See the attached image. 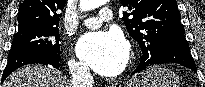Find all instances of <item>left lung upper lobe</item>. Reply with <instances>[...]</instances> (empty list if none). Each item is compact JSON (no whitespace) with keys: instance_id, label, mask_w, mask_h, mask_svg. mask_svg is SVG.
Listing matches in <instances>:
<instances>
[{"instance_id":"5c2ea615","label":"left lung upper lobe","mask_w":205,"mask_h":87,"mask_svg":"<svg viewBox=\"0 0 205 87\" xmlns=\"http://www.w3.org/2000/svg\"><path fill=\"white\" fill-rule=\"evenodd\" d=\"M121 2L129 8L128 12H123L122 20L129 35L139 43L142 59L155 58L167 39L185 33L176 0Z\"/></svg>"}]
</instances>
